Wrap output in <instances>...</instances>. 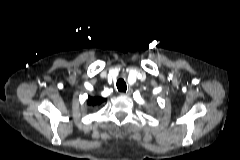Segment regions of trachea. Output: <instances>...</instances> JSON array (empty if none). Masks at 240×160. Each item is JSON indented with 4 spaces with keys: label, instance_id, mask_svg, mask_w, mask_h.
Listing matches in <instances>:
<instances>
[{
    "label": "trachea",
    "instance_id": "trachea-1",
    "mask_svg": "<svg viewBox=\"0 0 240 160\" xmlns=\"http://www.w3.org/2000/svg\"><path fill=\"white\" fill-rule=\"evenodd\" d=\"M117 89L120 92H126L127 90V85L126 82L124 81V79H119L116 83Z\"/></svg>",
    "mask_w": 240,
    "mask_h": 160
}]
</instances>
